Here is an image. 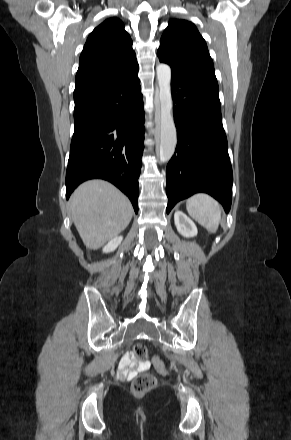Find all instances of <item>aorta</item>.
<instances>
[{
  "mask_svg": "<svg viewBox=\"0 0 291 440\" xmlns=\"http://www.w3.org/2000/svg\"><path fill=\"white\" fill-rule=\"evenodd\" d=\"M156 74L161 109L159 155L162 162H167L174 155L177 144V131L172 114L171 69L167 64L160 63L156 67Z\"/></svg>",
  "mask_w": 291,
  "mask_h": 440,
  "instance_id": "1",
  "label": "aorta"
}]
</instances>
